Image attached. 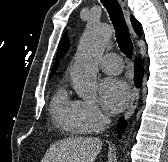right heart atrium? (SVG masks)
Instances as JSON below:
<instances>
[{"label":"right heart atrium","mask_w":168,"mask_h":162,"mask_svg":"<svg viewBox=\"0 0 168 162\" xmlns=\"http://www.w3.org/2000/svg\"><path fill=\"white\" fill-rule=\"evenodd\" d=\"M76 116L89 132L100 131L106 123V117L99 107L94 102L86 100L77 101Z\"/></svg>","instance_id":"1"}]
</instances>
